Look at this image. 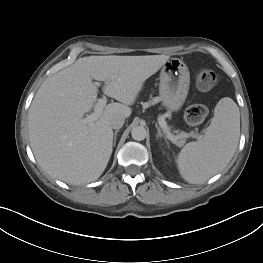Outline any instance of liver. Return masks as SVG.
Instances as JSON below:
<instances>
[{"label":"liver","mask_w":263,"mask_h":263,"mask_svg":"<svg viewBox=\"0 0 263 263\" xmlns=\"http://www.w3.org/2000/svg\"><path fill=\"white\" fill-rule=\"evenodd\" d=\"M169 60L168 55L88 56L47 78L28 115L33 154L51 177L80 185L97 180L113 151L110 120L128 118L144 82ZM104 81L105 95L116 99L92 124L83 116L97 101L92 80ZM120 102V103H119Z\"/></svg>","instance_id":"obj_1"}]
</instances>
